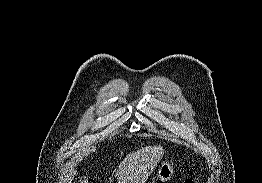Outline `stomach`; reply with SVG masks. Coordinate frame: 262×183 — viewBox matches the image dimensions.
<instances>
[{
  "instance_id": "obj_1",
  "label": "stomach",
  "mask_w": 262,
  "mask_h": 183,
  "mask_svg": "<svg viewBox=\"0 0 262 183\" xmlns=\"http://www.w3.org/2000/svg\"><path fill=\"white\" fill-rule=\"evenodd\" d=\"M175 174L173 163L165 160L158 166V170L155 176L156 180L166 183L171 180Z\"/></svg>"
}]
</instances>
